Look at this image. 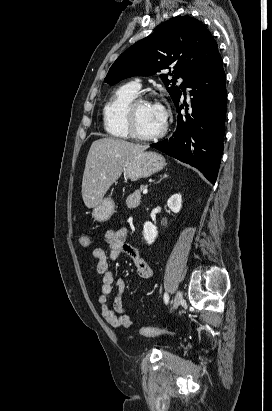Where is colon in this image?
Listing matches in <instances>:
<instances>
[{
	"instance_id": "obj_1",
	"label": "colon",
	"mask_w": 272,
	"mask_h": 411,
	"mask_svg": "<svg viewBox=\"0 0 272 411\" xmlns=\"http://www.w3.org/2000/svg\"><path fill=\"white\" fill-rule=\"evenodd\" d=\"M79 243L82 247L86 248L89 247L91 244V239L90 237L86 235H82L79 239ZM140 334L143 337H159V336H165V335H170L171 332L162 327H149V326H143L139 330Z\"/></svg>"
}]
</instances>
